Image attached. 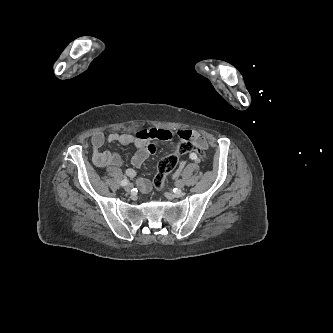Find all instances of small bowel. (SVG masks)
Listing matches in <instances>:
<instances>
[{"label":"small bowel","instance_id":"small-bowel-1","mask_svg":"<svg viewBox=\"0 0 333 333\" xmlns=\"http://www.w3.org/2000/svg\"><path fill=\"white\" fill-rule=\"evenodd\" d=\"M192 140L199 148L204 149L208 146V140L202 134L197 131L189 129H182L177 131L161 130V129H143L135 134H118L110 133L107 138L102 132H95L91 137L92 145V160L95 166L98 168H116L121 163V158L116 152L102 150V146L105 141L116 142L122 145H134L136 152L131 158V164L133 167H140L148 159V157L157 151L156 140H170L172 138ZM189 159L197 161V155L191 153ZM185 162H181L179 169L175 175H179ZM136 174L133 168L126 170V175L130 178ZM140 189L144 193H148L151 190V185L147 180L140 182Z\"/></svg>","mask_w":333,"mask_h":333}]
</instances>
